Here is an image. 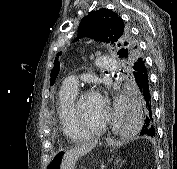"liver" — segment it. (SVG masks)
Masks as SVG:
<instances>
[{"mask_svg":"<svg viewBox=\"0 0 177 169\" xmlns=\"http://www.w3.org/2000/svg\"><path fill=\"white\" fill-rule=\"evenodd\" d=\"M96 146V142L66 151L61 162V169H75L79 157L89 153Z\"/></svg>","mask_w":177,"mask_h":169,"instance_id":"6515ba94","label":"liver"}]
</instances>
